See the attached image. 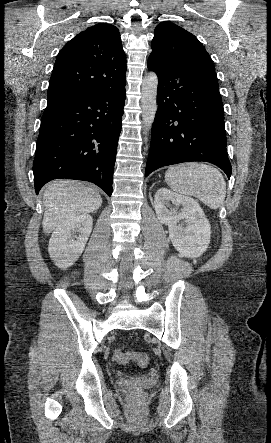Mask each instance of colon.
I'll return each instance as SVG.
<instances>
[{"label":"colon","mask_w":271,"mask_h":443,"mask_svg":"<svg viewBox=\"0 0 271 443\" xmlns=\"http://www.w3.org/2000/svg\"><path fill=\"white\" fill-rule=\"evenodd\" d=\"M113 359L120 364H129L134 362L139 367H145L147 365V356L140 352H126L121 349H116L113 354ZM142 393L140 391H134L129 396V401L132 403H137L141 400Z\"/></svg>","instance_id":"5ec220e1"}]
</instances>
